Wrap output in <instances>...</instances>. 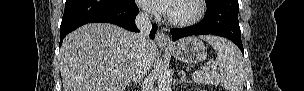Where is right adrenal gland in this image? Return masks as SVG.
<instances>
[{
  "mask_svg": "<svg viewBox=\"0 0 304 91\" xmlns=\"http://www.w3.org/2000/svg\"><path fill=\"white\" fill-rule=\"evenodd\" d=\"M132 82H134L136 85L141 82V79L137 76H134L133 79L127 84V87L129 88L132 84Z\"/></svg>",
  "mask_w": 304,
  "mask_h": 91,
  "instance_id": "1",
  "label": "right adrenal gland"
}]
</instances>
